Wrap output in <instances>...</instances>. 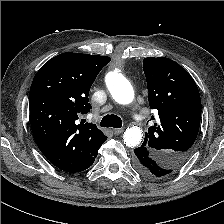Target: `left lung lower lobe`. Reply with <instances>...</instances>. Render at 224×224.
<instances>
[{
	"mask_svg": "<svg viewBox=\"0 0 224 224\" xmlns=\"http://www.w3.org/2000/svg\"><path fill=\"white\" fill-rule=\"evenodd\" d=\"M134 152L136 155L134 166L141 175L154 179L167 174V171L150 155L146 148L141 146L136 148Z\"/></svg>",
	"mask_w": 224,
	"mask_h": 224,
	"instance_id": "obj_1",
	"label": "left lung lower lobe"
}]
</instances>
